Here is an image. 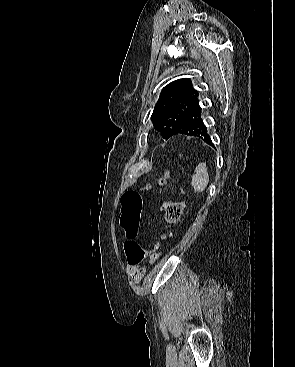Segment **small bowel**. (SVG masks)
Listing matches in <instances>:
<instances>
[{"instance_id":"obj_1","label":"small bowel","mask_w":295,"mask_h":367,"mask_svg":"<svg viewBox=\"0 0 295 367\" xmlns=\"http://www.w3.org/2000/svg\"><path fill=\"white\" fill-rule=\"evenodd\" d=\"M127 271L135 283H139L145 275L146 267L143 265H133L128 262Z\"/></svg>"}]
</instances>
